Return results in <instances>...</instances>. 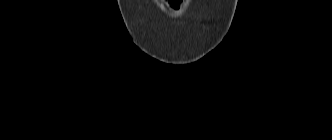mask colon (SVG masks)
<instances>
[{
	"label": "colon",
	"mask_w": 332,
	"mask_h": 140,
	"mask_svg": "<svg viewBox=\"0 0 332 140\" xmlns=\"http://www.w3.org/2000/svg\"><path fill=\"white\" fill-rule=\"evenodd\" d=\"M173 6H178L181 0H170Z\"/></svg>",
	"instance_id": "1"
}]
</instances>
